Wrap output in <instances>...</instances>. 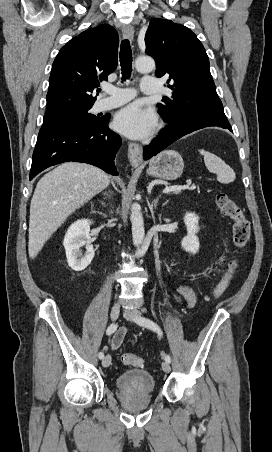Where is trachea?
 I'll return each instance as SVG.
<instances>
[{"instance_id":"1","label":"trachea","mask_w":272,"mask_h":452,"mask_svg":"<svg viewBox=\"0 0 272 452\" xmlns=\"http://www.w3.org/2000/svg\"><path fill=\"white\" fill-rule=\"evenodd\" d=\"M120 65L122 71V80L129 79L132 72V50L130 42L124 39L120 46Z\"/></svg>"}]
</instances>
